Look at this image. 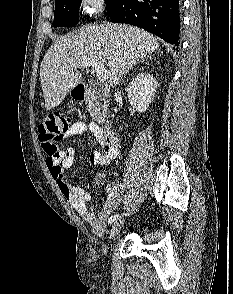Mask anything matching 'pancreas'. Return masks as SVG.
Instances as JSON below:
<instances>
[{
  "label": "pancreas",
  "mask_w": 233,
  "mask_h": 294,
  "mask_svg": "<svg viewBox=\"0 0 233 294\" xmlns=\"http://www.w3.org/2000/svg\"><path fill=\"white\" fill-rule=\"evenodd\" d=\"M87 107L92 118L97 122H101L106 114L107 106L99 103L97 96L93 95L92 99L87 101Z\"/></svg>",
  "instance_id": "cf45deb5"
}]
</instances>
